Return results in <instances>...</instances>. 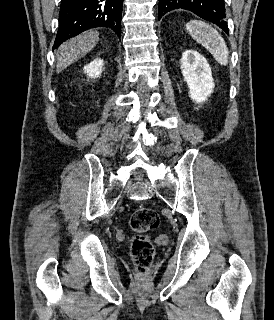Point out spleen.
<instances>
[{
	"instance_id": "1",
	"label": "spleen",
	"mask_w": 274,
	"mask_h": 320,
	"mask_svg": "<svg viewBox=\"0 0 274 320\" xmlns=\"http://www.w3.org/2000/svg\"><path fill=\"white\" fill-rule=\"evenodd\" d=\"M186 26L192 38H194L198 44H202V46L212 54L218 64L227 66L229 56L228 48L224 42V38L220 36L215 28H212L209 24H205V22H200V20H191Z\"/></svg>"
}]
</instances>
